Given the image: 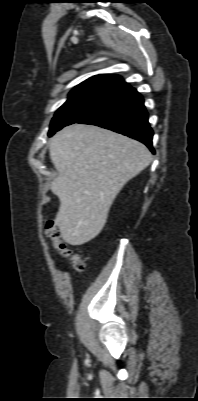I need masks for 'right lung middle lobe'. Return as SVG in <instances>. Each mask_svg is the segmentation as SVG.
Here are the masks:
<instances>
[{"label": "right lung middle lobe", "instance_id": "dd1d6c3e", "mask_svg": "<svg viewBox=\"0 0 198 401\" xmlns=\"http://www.w3.org/2000/svg\"><path fill=\"white\" fill-rule=\"evenodd\" d=\"M109 90L71 92L68 100L55 113L48 132L51 137L64 126L76 123L94 111L106 98Z\"/></svg>", "mask_w": 198, "mask_h": 401}]
</instances>
